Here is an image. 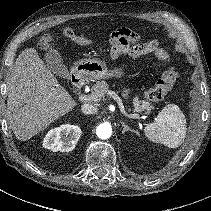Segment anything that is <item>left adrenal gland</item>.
<instances>
[{
	"mask_svg": "<svg viewBox=\"0 0 211 211\" xmlns=\"http://www.w3.org/2000/svg\"><path fill=\"white\" fill-rule=\"evenodd\" d=\"M121 124L123 126V131H122L123 134L127 131H131V132L136 133V131L134 129H131L128 125H126L125 122H121Z\"/></svg>",
	"mask_w": 211,
	"mask_h": 211,
	"instance_id": "obj_1",
	"label": "left adrenal gland"
}]
</instances>
